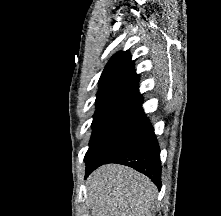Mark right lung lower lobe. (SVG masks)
Masks as SVG:
<instances>
[{
  "label": "right lung lower lobe",
  "mask_w": 221,
  "mask_h": 216,
  "mask_svg": "<svg viewBox=\"0 0 221 216\" xmlns=\"http://www.w3.org/2000/svg\"><path fill=\"white\" fill-rule=\"evenodd\" d=\"M108 163L130 166L148 176L158 189H161L160 149L151 124L141 137L115 153L104 163L86 166L85 178L97 167Z\"/></svg>",
  "instance_id": "1"
}]
</instances>
